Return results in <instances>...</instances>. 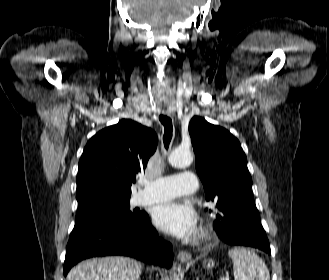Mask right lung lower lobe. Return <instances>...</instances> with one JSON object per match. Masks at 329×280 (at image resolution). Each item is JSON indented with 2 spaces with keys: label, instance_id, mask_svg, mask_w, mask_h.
<instances>
[{
  "label": "right lung lower lobe",
  "instance_id": "right-lung-lower-lobe-1",
  "mask_svg": "<svg viewBox=\"0 0 329 280\" xmlns=\"http://www.w3.org/2000/svg\"><path fill=\"white\" fill-rule=\"evenodd\" d=\"M124 255L169 268L172 246L158 238L148 215L137 224L96 216L74 226L66 247L64 275L78 262L96 256Z\"/></svg>",
  "mask_w": 329,
  "mask_h": 280
}]
</instances>
